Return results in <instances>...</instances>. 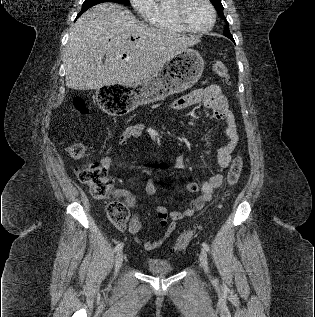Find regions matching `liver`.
Returning a JSON list of instances; mask_svg holds the SVG:
<instances>
[{
    "mask_svg": "<svg viewBox=\"0 0 315 317\" xmlns=\"http://www.w3.org/2000/svg\"><path fill=\"white\" fill-rule=\"evenodd\" d=\"M199 42L195 36L149 27L121 5L102 3L71 27L66 86L77 90L132 86L153 78L171 58Z\"/></svg>",
    "mask_w": 315,
    "mask_h": 317,
    "instance_id": "liver-1",
    "label": "liver"
}]
</instances>
